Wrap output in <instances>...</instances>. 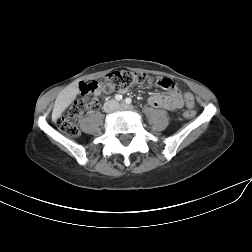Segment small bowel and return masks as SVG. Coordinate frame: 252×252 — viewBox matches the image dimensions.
<instances>
[{
  "label": "small bowel",
  "mask_w": 252,
  "mask_h": 252,
  "mask_svg": "<svg viewBox=\"0 0 252 252\" xmlns=\"http://www.w3.org/2000/svg\"><path fill=\"white\" fill-rule=\"evenodd\" d=\"M167 82L170 86L167 88L164 86V83ZM157 86L166 89L167 94H154L149 97L148 103L153 108L165 109V110H176L180 109L183 106V100L181 93L174 83L173 80L169 78H161L157 80ZM193 97V95L191 94Z\"/></svg>",
  "instance_id": "1"
}]
</instances>
